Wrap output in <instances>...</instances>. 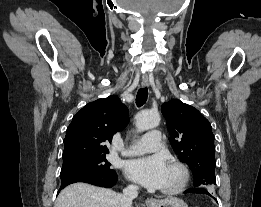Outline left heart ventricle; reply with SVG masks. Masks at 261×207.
I'll use <instances>...</instances> for the list:
<instances>
[{"label":"left heart ventricle","instance_id":"b2bd125f","mask_svg":"<svg viewBox=\"0 0 261 207\" xmlns=\"http://www.w3.org/2000/svg\"><path fill=\"white\" fill-rule=\"evenodd\" d=\"M179 180L178 170L167 166L161 188H168L175 185Z\"/></svg>","mask_w":261,"mask_h":207}]
</instances>
